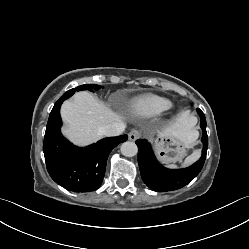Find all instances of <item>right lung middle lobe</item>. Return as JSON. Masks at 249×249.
<instances>
[{
	"instance_id": "dd1d6c3e",
	"label": "right lung middle lobe",
	"mask_w": 249,
	"mask_h": 249,
	"mask_svg": "<svg viewBox=\"0 0 249 249\" xmlns=\"http://www.w3.org/2000/svg\"><path fill=\"white\" fill-rule=\"evenodd\" d=\"M100 87L101 86L99 85H81L64 93L59 100H62V101L66 100L69 97H71L74 94V92L79 91V90H92V89L97 90Z\"/></svg>"
}]
</instances>
